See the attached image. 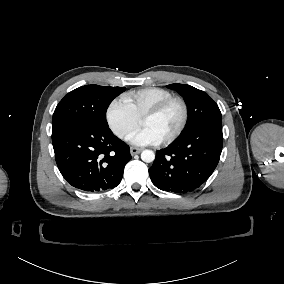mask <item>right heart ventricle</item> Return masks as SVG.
I'll return each mask as SVG.
<instances>
[{
	"mask_svg": "<svg viewBox=\"0 0 284 284\" xmlns=\"http://www.w3.org/2000/svg\"><path fill=\"white\" fill-rule=\"evenodd\" d=\"M173 96L174 94L168 89L156 86H147L125 93L121 97V101L139 118H142L148 110Z\"/></svg>",
	"mask_w": 284,
	"mask_h": 284,
	"instance_id": "e07e8e85",
	"label": "right heart ventricle"
}]
</instances>
